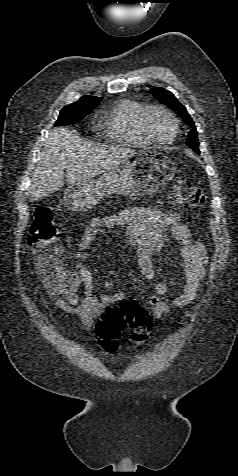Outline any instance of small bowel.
<instances>
[{"label":"small bowel","instance_id":"small-bowel-1","mask_svg":"<svg viewBox=\"0 0 238 476\" xmlns=\"http://www.w3.org/2000/svg\"><path fill=\"white\" fill-rule=\"evenodd\" d=\"M180 215L174 212H162L152 208H131L116 215L103 218H93L84 231L75 255V270L70 272L75 278L71 286L48 291L54 297L55 306L62 311L77 315L87 331H92L97 318L101 317L105 309L127 300L125 293L107 292L101 297L93 293L92 275L85 265L92 257L89 247L94 238L105 230L120 227L125 232L129 244L136 247L138 265L142 275L148 279L155 278V269L151 257L164 249L165 237L170 234L179 245L177 266L184 274V280L179 286L180 294L174 299L177 307L185 306L194 301L202 287L205 278L206 251L204 246L192 239L190 228L179 222ZM103 281V288L110 291L114 287V278ZM78 288H82L81 295ZM168 286L159 282L155 288V295L148 300L152 312V319H158L170 311L167 301Z\"/></svg>","mask_w":238,"mask_h":476}]
</instances>
